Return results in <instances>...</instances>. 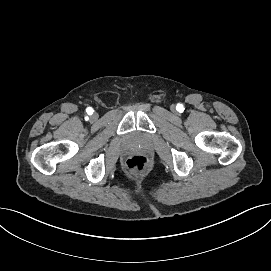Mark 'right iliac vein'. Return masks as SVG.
<instances>
[{
  "label": "right iliac vein",
  "mask_w": 271,
  "mask_h": 271,
  "mask_svg": "<svg viewBox=\"0 0 271 271\" xmlns=\"http://www.w3.org/2000/svg\"><path fill=\"white\" fill-rule=\"evenodd\" d=\"M91 119H92V120H96V119H97V114L94 113V114L91 116Z\"/></svg>",
  "instance_id": "63e3f726"
}]
</instances>
